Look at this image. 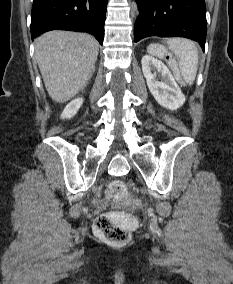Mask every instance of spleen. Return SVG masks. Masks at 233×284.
I'll return each mask as SVG.
<instances>
[{
    "instance_id": "obj_1",
    "label": "spleen",
    "mask_w": 233,
    "mask_h": 284,
    "mask_svg": "<svg viewBox=\"0 0 233 284\" xmlns=\"http://www.w3.org/2000/svg\"><path fill=\"white\" fill-rule=\"evenodd\" d=\"M167 48L160 44H151L148 53L157 57H164L168 50L172 51L178 60V65L173 64L175 73H180L183 80L192 85L198 69V50L192 41L183 38H172L167 42Z\"/></svg>"
}]
</instances>
